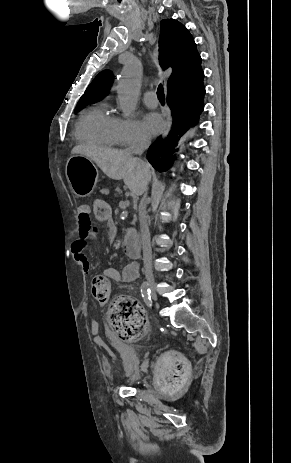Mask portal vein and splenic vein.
<instances>
[{
  "mask_svg": "<svg viewBox=\"0 0 291 463\" xmlns=\"http://www.w3.org/2000/svg\"><path fill=\"white\" fill-rule=\"evenodd\" d=\"M130 202L128 200L126 201H120L119 202V207L125 209L127 206H129Z\"/></svg>",
  "mask_w": 291,
  "mask_h": 463,
  "instance_id": "portal-vein-and-splenic-vein-1",
  "label": "portal vein and splenic vein"
}]
</instances>
